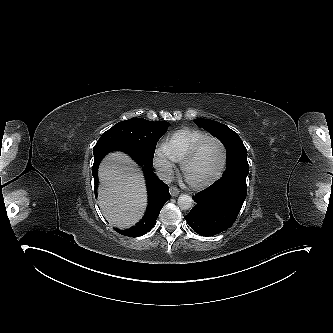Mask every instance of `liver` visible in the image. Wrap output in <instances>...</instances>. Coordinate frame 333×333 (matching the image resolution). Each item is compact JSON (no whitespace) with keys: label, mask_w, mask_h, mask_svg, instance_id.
<instances>
[{"label":"liver","mask_w":333,"mask_h":333,"mask_svg":"<svg viewBox=\"0 0 333 333\" xmlns=\"http://www.w3.org/2000/svg\"><path fill=\"white\" fill-rule=\"evenodd\" d=\"M98 203L107 221L125 229L143 216L147 194L141 169L125 153L109 154L99 167Z\"/></svg>","instance_id":"6515ba94"}]
</instances>
